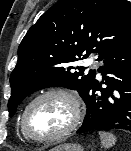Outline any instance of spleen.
Listing matches in <instances>:
<instances>
[{
  "label": "spleen",
  "instance_id": "spleen-1",
  "mask_svg": "<svg viewBox=\"0 0 131 151\" xmlns=\"http://www.w3.org/2000/svg\"><path fill=\"white\" fill-rule=\"evenodd\" d=\"M101 144L105 149L112 147L116 143V137L109 132L99 131Z\"/></svg>",
  "mask_w": 131,
  "mask_h": 151
}]
</instances>
